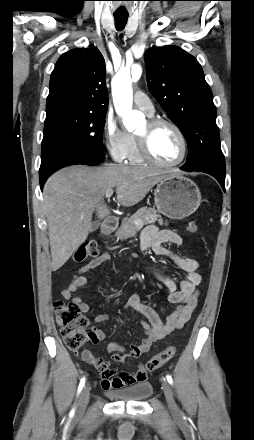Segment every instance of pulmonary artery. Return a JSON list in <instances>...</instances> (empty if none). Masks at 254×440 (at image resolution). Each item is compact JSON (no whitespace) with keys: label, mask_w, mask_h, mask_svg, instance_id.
I'll use <instances>...</instances> for the list:
<instances>
[{"label":"pulmonary artery","mask_w":254,"mask_h":440,"mask_svg":"<svg viewBox=\"0 0 254 440\" xmlns=\"http://www.w3.org/2000/svg\"><path fill=\"white\" fill-rule=\"evenodd\" d=\"M135 105L143 110L148 116H153L155 113V108L151 100L141 91H137L134 94Z\"/></svg>","instance_id":"1"}]
</instances>
